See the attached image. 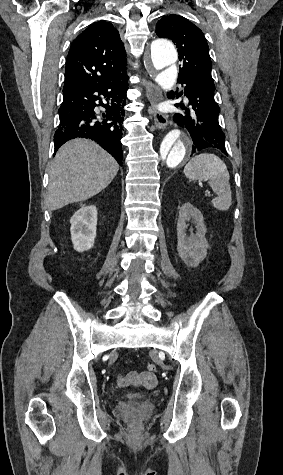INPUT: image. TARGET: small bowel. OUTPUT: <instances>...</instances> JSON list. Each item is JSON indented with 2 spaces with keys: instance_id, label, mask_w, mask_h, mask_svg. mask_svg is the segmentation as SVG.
<instances>
[{
  "instance_id": "obj_1",
  "label": "small bowel",
  "mask_w": 283,
  "mask_h": 475,
  "mask_svg": "<svg viewBox=\"0 0 283 475\" xmlns=\"http://www.w3.org/2000/svg\"><path fill=\"white\" fill-rule=\"evenodd\" d=\"M136 378L138 381L145 386L151 387L156 384V377L154 375L148 376L146 373L137 372ZM117 382L120 386H128L132 383V379H130V373L128 371H123L117 379Z\"/></svg>"
}]
</instances>
